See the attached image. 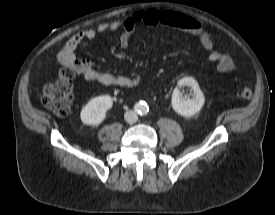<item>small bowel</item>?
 Wrapping results in <instances>:
<instances>
[{
	"mask_svg": "<svg viewBox=\"0 0 275 215\" xmlns=\"http://www.w3.org/2000/svg\"><path fill=\"white\" fill-rule=\"evenodd\" d=\"M138 24L150 27L161 25L179 29L198 39L200 45L208 53L209 60L216 64L219 72H230L234 67L232 58L215 48L211 35L202 27L198 20L180 12L158 9L137 11L124 19L102 23L96 28L76 33L68 40L59 53V60L87 81H96L105 86L122 88L136 86L141 80L140 76L128 77L99 71L89 58L79 57L77 49L85 40H92L99 34L117 30L122 31L119 41L120 47L126 49L129 46L131 33Z\"/></svg>",
	"mask_w": 275,
	"mask_h": 215,
	"instance_id": "obj_1",
	"label": "small bowel"
}]
</instances>
